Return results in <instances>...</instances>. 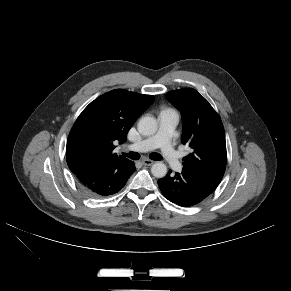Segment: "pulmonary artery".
<instances>
[{"mask_svg": "<svg viewBox=\"0 0 291 291\" xmlns=\"http://www.w3.org/2000/svg\"><path fill=\"white\" fill-rule=\"evenodd\" d=\"M158 120L159 129L155 135L131 144L129 148L138 152L160 148L169 166L175 171L181 172L183 167L179 155L172 145L173 132L179 120L178 114L173 110H165L159 114Z\"/></svg>", "mask_w": 291, "mask_h": 291, "instance_id": "pulmonary-artery-1", "label": "pulmonary artery"}]
</instances>
